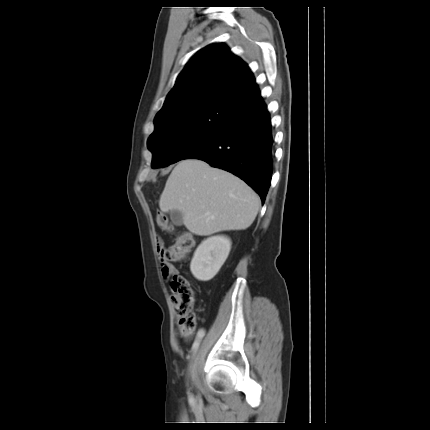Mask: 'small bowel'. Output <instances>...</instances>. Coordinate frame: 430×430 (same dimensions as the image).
Returning a JSON list of instances; mask_svg holds the SVG:
<instances>
[{"label": "small bowel", "mask_w": 430, "mask_h": 430, "mask_svg": "<svg viewBox=\"0 0 430 430\" xmlns=\"http://www.w3.org/2000/svg\"><path fill=\"white\" fill-rule=\"evenodd\" d=\"M161 244H162V241L158 237L157 245H161ZM159 262L161 263V271L164 277H169L174 274H178L177 268L171 263H166V258H164L163 256L159 257ZM198 332H200L201 336L205 335V330L203 328L199 329Z\"/></svg>", "instance_id": "1"}]
</instances>
